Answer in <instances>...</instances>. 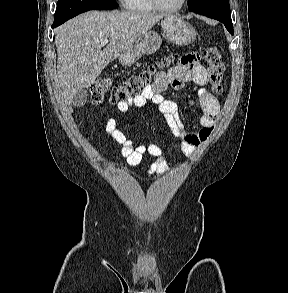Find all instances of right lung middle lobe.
Listing matches in <instances>:
<instances>
[{
    "label": "right lung middle lobe",
    "mask_w": 288,
    "mask_h": 293,
    "mask_svg": "<svg viewBox=\"0 0 288 293\" xmlns=\"http://www.w3.org/2000/svg\"><path fill=\"white\" fill-rule=\"evenodd\" d=\"M115 0H58L54 16V25H61L70 18L89 11L115 9Z\"/></svg>",
    "instance_id": "right-lung-middle-lobe-1"
}]
</instances>
